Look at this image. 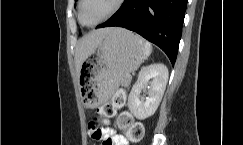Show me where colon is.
Wrapping results in <instances>:
<instances>
[{"label": "colon", "mask_w": 243, "mask_h": 145, "mask_svg": "<svg viewBox=\"0 0 243 145\" xmlns=\"http://www.w3.org/2000/svg\"><path fill=\"white\" fill-rule=\"evenodd\" d=\"M126 96L123 90L117 91L111 99L104 103L103 106L98 108V115L101 117H113L118 108H121L125 104ZM99 118L93 117L88 123L89 130L92 136H95L99 132ZM118 127L124 131L126 137L132 141L137 142L143 138L144 127L141 123L136 122L132 115L128 112H122L117 118Z\"/></svg>", "instance_id": "colon-1"}]
</instances>
